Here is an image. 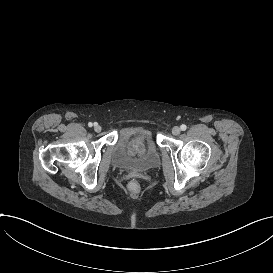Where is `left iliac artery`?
Returning a JSON list of instances; mask_svg holds the SVG:
<instances>
[{
	"instance_id": "1",
	"label": "left iliac artery",
	"mask_w": 273,
	"mask_h": 273,
	"mask_svg": "<svg viewBox=\"0 0 273 273\" xmlns=\"http://www.w3.org/2000/svg\"><path fill=\"white\" fill-rule=\"evenodd\" d=\"M180 128H181V130H182V131H185V130H186V128H187V126H186V125H184V124H182V125L180 126Z\"/></svg>"
}]
</instances>
